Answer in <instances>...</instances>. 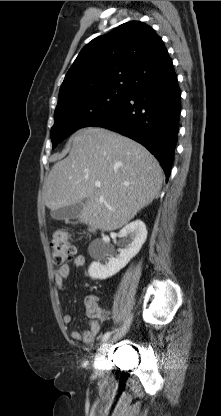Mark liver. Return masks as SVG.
<instances>
[{"mask_svg":"<svg viewBox=\"0 0 221 416\" xmlns=\"http://www.w3.org/2000/svg\"><path fill=\"white\" fill-rule=\"evenodd\" d=\"M71 142L69 155L54 164L44 183L51 211L85 201L79 221L112 231L158 197L162 168L138 142L99 127L77 131Z\"/></svg>","mask_w":221,"mask_h":416,"instance_id":"1","label":"liver"}]
</instances>
